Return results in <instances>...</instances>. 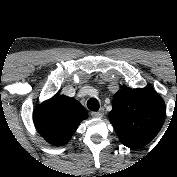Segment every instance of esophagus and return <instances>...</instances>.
<instances>
[{"label": "esophagus", "mask_w": 177, "mask_h": 177, "mask_svg": "<svg viewBox=\"0 0 177 177\" xmlns=\"http://www.w3.org/2000/svg\"><path fill=\"white\" fill-rule=\"evenodd\" d=\"M104 115V110H100L98 112H92L91 113V116L94 117V118H102Z\"/></svg>", "instance_id": "esophagus-1"}]
</instances>
